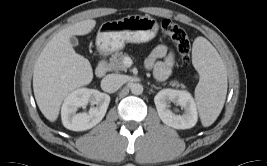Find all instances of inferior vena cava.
Listing matches in <instances>:
<instances>
[{
	"label": "inferior vena cava",
	"mask_w": 267,
	"mask_h": 166,
	"mask_svg": "<svg viewBox=\"0 0 267 166\" xmlns=\"http://www.w3.org/2000/svg\"><path fill=\"white\" fill-rule=\"evenodd\" d=\"M125 83L123 75L108 74L101 81L103 91L113 93L117 91Z\"/></svg>",
	"instance_id": "602c4592"
}]
</instances>
